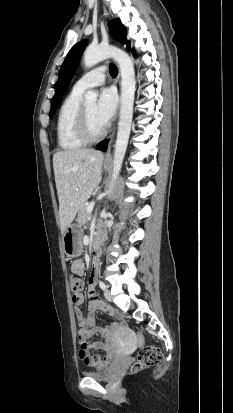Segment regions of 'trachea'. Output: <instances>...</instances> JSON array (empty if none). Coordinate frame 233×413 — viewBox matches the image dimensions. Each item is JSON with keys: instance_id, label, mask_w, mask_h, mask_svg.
<instances>
[{"instance_id": "obj_1", "label": "trachea", "mask_w": 233, "mask_h": 413, "mask_svg": "<svg viewBox=\"0 0 233 413\" xmlns=\"http://www.w3.org/2000/svg\"><path fill=\"white\" fill-rule=\"evenodd\" d=\"M109 72L111 76H116L118 74V69L114 64L109 65Z\"/></svg>"}]
</instances>
